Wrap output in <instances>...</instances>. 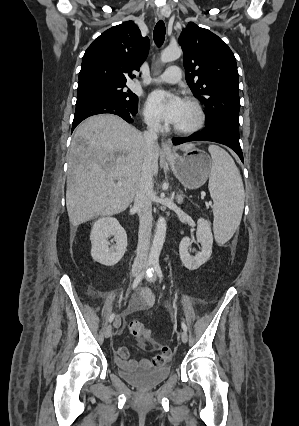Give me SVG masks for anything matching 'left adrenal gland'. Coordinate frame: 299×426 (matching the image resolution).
<instances>
[{
	"label": "left adrenal gland",
	"instance_id": "1",
	"mask_svg": "<svg viewBox=\"0 0 299 426\" xmlns=\"http://www.w3.org/2000/svg\"><path fill=\"white\" fill-rule=\"evenodd\" d=\"M184 197L185 195L182 192H180V193H177V195L175 196V200L178 202V204H181L183 202Z\"/></svg>",
	"mask_w": 299,
	"mask_h": 426
}]
</instances>
